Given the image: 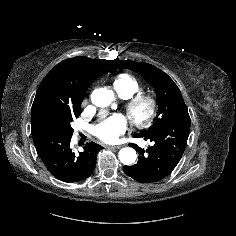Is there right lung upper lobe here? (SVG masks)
I'll list each match as a JSON object with an SVG mask.
<instances>
[{
    "mask_svg": "<svg viewBox=\"0 0 236 236\" xmlns=\"http://www.w3.org/2000/svg\"><path fill=\"white\" fill-rule=\"evenodd\" d=\"M112 61L77 56L57 64L41 82L31 112V131L38 130L41 117L48 111L81 107L90 84L102 75Z\"/></svg>",
    "mask_w": 236,
    "mask_h": 236,
    "instance_id": "1",
    "label": "right lung upper lobe"
}]
</instances>
